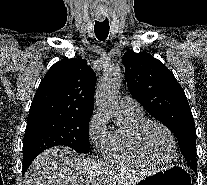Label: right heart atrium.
Segmentation results:
<instances>
[{
    "label": "right heart atrium",
    "mask_w": 207,
    "mask_h": 185,
    "mask_svg": "<svg viewBox=\"0 0 207 185\" xmlns=\"http://www.w3.org/2000/svg\"><path fill=\"white\" fill-rule=\"evenodd\" d=\"M109 118L106 113L101 110L93 112L88 126V135L92 143L102 140L107 134Z\"/></svg>",
    "instance_id": "right-heart-atrium-1"
}]
</instances>
